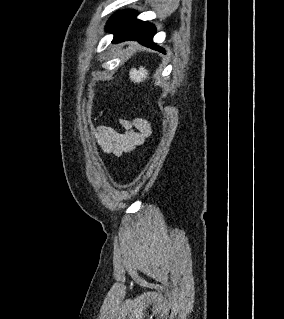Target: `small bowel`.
Listing matches in <instances>:
<instances>
[{
    "instance_id": "c3829d8e",
    "label": "small bowel",
    "mask_w": 284,
    "mask_h": 319,
    "mask_svg": "<svg viewBox=\"0 0 284 319\" xmlns=\"http://www.w3.org/2000/svg\"><path fill=\"white\" fill-rule=\"evenodd\" d=\"M120 123L123 131L110 126H101L96 130L102 151L116 157L133 151L151 134V126L144 119H135L133 122L121 120Z\"/></svg>"
}]
</instances>
